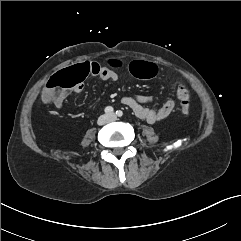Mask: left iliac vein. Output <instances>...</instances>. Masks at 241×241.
<instances>
[{
	"label": "left iliac vein",
	"mask_w": 241,
	"mask_h": 241,
	"mask_svg": "<svg viewBox=\"0 0 241 241\" xmlns=\"http://www.w3.org/2000/svg\"><path fill=\"white\" fill-rule=\"evenodd\" d=\"M109 117H110L111 120H113V119H115V114L112 113V114L109 115Z\"/></svg>",
	"instance_id": "1"
}]
</instances>
